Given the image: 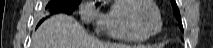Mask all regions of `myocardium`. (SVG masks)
Returning a JSON list of instances; mask_svg holds the SVG:
<instances>
[{
  "label": "myocardium",
  "mask_w": 213,
  "mask_h": 48,
  "mask_svg": "<svg viewBox=\"0 0 213 48\" xmlns=\"http://www.w3.org/2000/svg\"><path fill=\"white\" fill-rule=\"evenodd\" d=\"M139 3H145L148 4L149 6H151L155 12H156V16H157V20H158V27L156 29V31L152 32V33H143L141 32L138 27L136 26L133 18H132V10L137 6V4ZM124 19L126 21V23L128 24V26L130 27V29L138 36L144 37L146 39L155 36L156 34H158L163 26V22H162V16H161V12L159 10V8L157 7V5L151 1V0H130L129 4L124 8Z\"/></svg>",
  "instance_id": "1"
}]
</instances>
